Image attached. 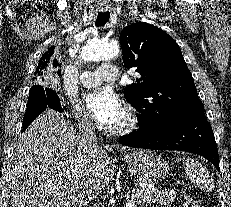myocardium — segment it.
<instances>
[{
	"mask_svg": "<svg viewBox=\"0 0 231 207\" xmlns=\"http://www.w3.org/2000/svg\"><path fill=\"white\" fill-rule=\"evenodd\" d=\"M124 112L126 114L125 122L118 127H108L106 132L113 136H124L134 132L139 126V116L135 110L130 105H125Z\"/></svg>",
	"mask_w": 231,
	"mask_h": 207,
	"instance_id": "1",
	"label": "myocardium"
}]
</instances>
